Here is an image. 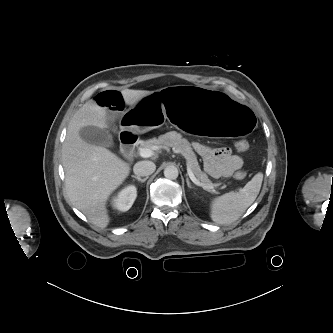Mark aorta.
Segmentation results:
<instances>
[{"label":"aorta","mask_w":333,"mask_h":333,"mask_svg":"<svg viewBox=\"0 0 333 333\" xmlns=\"http://www.w3.org/2000/svg\"><path fill=\"white\" fill-rule=\"evenodd\" d=\"M178 169L175 167V166H167L165 169H164V176L167 178V179H171V180H174L178 177Z\"/></svg>","instance_id":"aorta-1"}]
</instances>
